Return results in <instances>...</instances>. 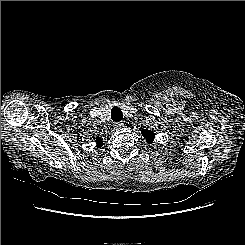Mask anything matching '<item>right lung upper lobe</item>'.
<instances>
[{
	"label": "right lung upper lobe",
	"mask_w": 245,
	"mask_h": 245,
	"mask_svg": "<svg viewBox=\"0 0 245 245\" xmlns=\"http://www.w3.org/2000/svg\"><path fill=\"white\" fill-rule=\"evenodd\" d=\"M97 147L100 148L103 145V141L100 137L96 138Z\"/></svg>",
	"instance_id": "1"
}]
</instances>
